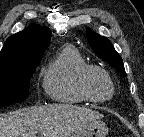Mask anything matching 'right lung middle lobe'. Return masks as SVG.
<instances>
[{"mask_svg":"<svg viewBox=\"0 0 144 137\" xmlns=\"http://www.w3.org/2000/svg\"><path fill=\"white\" fill-rule=\"evenodd\" d=\"M40 61L0 65V108L27 98L29 80Z\"/></svg>","mask_w":144,"mask_h":137,"instance_id":"right-lung-middle-lobe-1","label":"right lung middle lobe"}]
</instances>
